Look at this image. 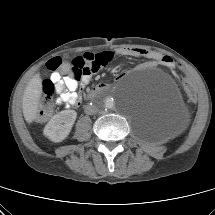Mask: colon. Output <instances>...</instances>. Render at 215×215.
Masks as SVG:
<instances>
[{
  "mask_svg": "<svg viewBox=\"0 0 215 215\" xmlns=\"http://www.w3.org/2000/svg\"><path fill=\"white\" fill-rule=\"evenodd\" d=\"M47 68L52 72L59 71L61 75L66 77L75 76L79 79L83 72V63L79 57L72 61H67L61 57H54L50 59L47 64ZM178 71L181 73L180 77L183 79L180 82V88L186 92L185 101L189 105H194L198 101L199 92L196 90L193 82L186 78L187 74L184 72L185 68L180 66ZM55 85L52 80H46L43 83V92L40 100V109L38 118L41 120L46 119L52 112L53 100H54Z\"/></svg>",
  "mask_w": 215,
  "mask_h": 215,
  "instance_id": "1",
  "label": "colon"
}]
</instances>
